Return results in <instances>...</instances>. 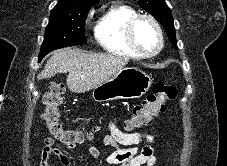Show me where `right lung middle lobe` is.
Here are the masks:
<instances>
[{
  "label": "right lung middle lobe",
  "instance_id": "obj_1",
  "mask_svg": "<svg viewBox=\"0 0 227 166\" xmlns=\"http://www.w3.org/2000/svg\"><path fill=\"white\" fill-rule=\"evenodd\" d=\"M88 11L89 9L79 12L51 13L39 60L55 49L85 44L87 40L84 26Z\"/></svg>",
  "mask_w": 227,
  "mask_h": 166
}]
</instances>
